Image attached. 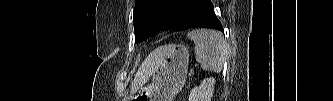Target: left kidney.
Listing matches in <instances>:
<instances>
[{
    "label": "left kidney",
    "instance_id": "5707ae66",
    "mask_svg": "<svg viewBox=\"0 0 333 101\" xmlns=\"http://www.w3.org/2000/svg\"><path fill=\"white\" fill-rule=\"evenodd\" d=\"M214 78H205L198 87H194L189 95V101H211L213 96Z\"/></svg>",
    "mask_w": 333,
    "mask_h": 101
}]
</instances>
